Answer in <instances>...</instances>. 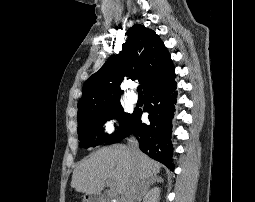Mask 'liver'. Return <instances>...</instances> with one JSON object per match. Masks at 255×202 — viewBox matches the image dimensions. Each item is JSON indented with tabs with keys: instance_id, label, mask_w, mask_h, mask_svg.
Returning a JSON list of instances; mask_svg holds the SVG:
<instances>
[{
	"instance_id": "liver-1",
	"label": "liver",
	"mask_w": 255,
	"mask_h": 202,
	"mask_svg": "<svg viewBox=\"0 0 255 202\" xmlns=\"http://www.w3.org/2000/svg\"><path fill=\"white\" fill-rule=\"evenodd\" d=\"M161 165L138 150L133 153L129 146L103 147L81 161L73 171L71 187L77 192L98 194L105 181H112L115 192L122 195L134 177L142 180L159 173Z\"/></svg>"
}]
</instances>
